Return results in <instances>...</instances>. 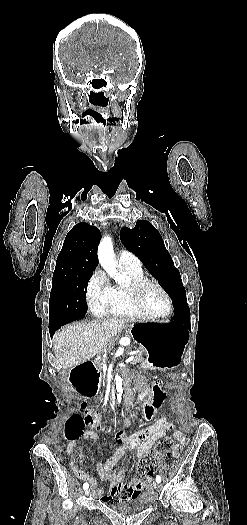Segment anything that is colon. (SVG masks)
<instances>
[{
	"label": "colon",
	"instance_id": "5ec220e1",
	"mask_svg": "<svg viewBox=\"0 0 247 525\" xmlns=\"http://www.w3.org/2000/svg\"><path fill=\"white\" fill-rule=\"evenodd\" d=\"M144 386L146 389L151 390L155 389L156 392L153 393L152 398L153 402L146 401L143 403L142 408L145 414H142L141 423L139 419H126L125 421H115V424H125L126 426H139L140 428L146 429L148 423H151V420L156 418L154 412L160 410L161 406L164 403V398L168 390L167 385L164 383V378L159 376L155 380L148 379L145 381ZM82 410H86V406H81ZM113 424V421L110 419L90 417L87 412L82 414H76L70 418L66 430V436L68 440H75L83 436L84 426L87 428H94L96 432L108 431L111 430L110 426ZM173 447V438L166 437L158 442L155 449L147 453L137 465V473L140 478L149 477L152 475L155 466L158 462L164 459L166 454Z\"/></svg>",
	"mask_w": 247,
	"mask_h": 525
}]
</instances>
